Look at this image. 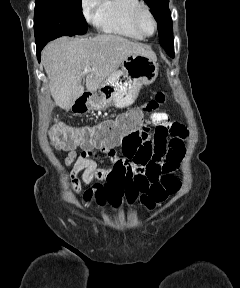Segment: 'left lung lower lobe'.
<instances>
[{
  "label": "left lung lower lobe",
  "mask_w": 240,
  "mask_h": 288,
  "mask_svg": "<svg viewBox=\"0 0 240 288\" xmlns=\"http://www.w3.org/2000/svg\"><path fill=\"white\" fill-rule=\"evenodd\" d=\"M167 52V51H166ZM171 57H174V53L167 52Z\"/></svg>",
  "instance_id": "obj_1"
}]
</instances>
